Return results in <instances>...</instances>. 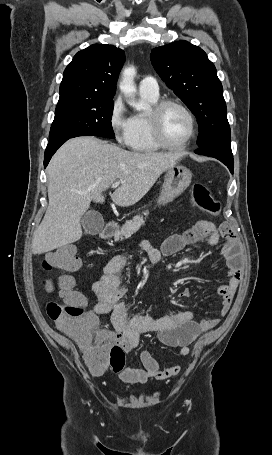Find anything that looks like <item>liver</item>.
<instances>
[{
	"label": "liver",
	"instance_id": "1",
	"mask_svg": "<svg viewBox=\"0 0 272 455\" xmlns=\"http://www.w3.org/2000/svg\"><path fill=\"white\" fill-rule=\"evenodd\" d=\"M181 156L129 152L95 137L68 140L47 167L49 205L32 240L33 254L78 241L82 237L81 218L91 201L104 202V191L115 181L121 185L112 195L113 202L132 206Z\"/></svg>",
	"mask_w": 272,
	"mask_h": 455
}]
</instances>
